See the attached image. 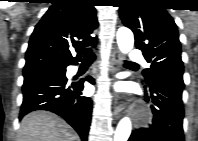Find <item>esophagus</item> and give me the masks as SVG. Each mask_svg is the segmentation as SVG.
<instances>
[{
  "label": "esophagus",
  "instance_id": "obj_1",
  "mask_svg": "<svg viewBox=\"0 0 198 141\" xmlns=\"http://www.w3.org/2000/svg\"><path fill=\"white\" fill-rule=\"evenodd\" d=\"M121 54L118 50H114L111 55V64H112V73L115 74L121 70ZM115 109H114V117L119 118L121 116V112L124 106V102L121 101L118 97L115 99Z\"/></svg>",
  "mask_w": 198,
  "mask_h": 141
}]
</instances>
